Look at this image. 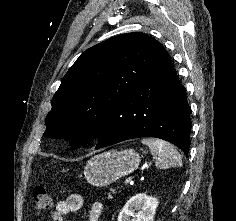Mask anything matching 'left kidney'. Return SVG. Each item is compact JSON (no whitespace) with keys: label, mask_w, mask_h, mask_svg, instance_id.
Masks as SVG:
<instances>
[{"label":"left kidney","mask_w":236,"mask_h":221,"mask_svg":"<svg viewBox=\"0 0 236 221\" xmlns=\"http://www.w3.org/2000/svg\"><path fill=\"white\" fill-rule=\"evenodd\" d=\"M158 203L155 197L143 193L136 194L127 201L117 221H130V216L134 217L132 221H154Z\"/></svg>","instance_id":"left-kidney-1"}]
</instances>
